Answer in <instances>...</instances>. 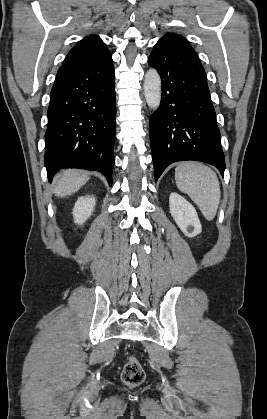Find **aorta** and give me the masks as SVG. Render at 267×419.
Returning <instances> with one entry per match:
<instances>
[{
    "label": "aorta",
    "mask_w": 267,
    "mask_h": 419,
    "mask_svg": "<svg viewBox=\"0 0 267 419\" xmlns=\"http://www.w3.org/2000/svg\"><path fill=\"white\" fill-rule=\"evenodd\" d=\"M143 88L148 106L156 110L161 102V79L156 69L150 68L147 71Z\"/></svg>",
    "instance_id": "762f6f07"
}]
</instances>
